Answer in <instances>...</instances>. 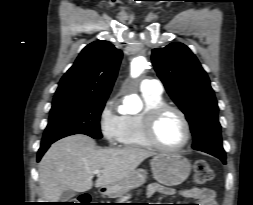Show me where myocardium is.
<instances>
[{"label":"myocardium","instance_id":"myocardium-1","mask_svg":"<svg viewBox=\"0 0 253 205\" xmlns=\"http://www.w3.org/2000/svg\"><path fill=\"white\" fill-rule=\"evenodd\" d=\"M168 112L176 113L183 121L185 125V129H186V137L184 141L181 144L176 145V146L164 145L159 141L157 137V125L159 121L161 120V118ZM143 130H144L145 138L149 142V144L152 147L162 150V151L180 150L188 145L192 136L191 124L186 114L180 108L166 104V103L156 106L154 108H151L150 110L147 111L144 118Z\"/></svg>","mask_w":253,"mask_h":205}]
</instances>
